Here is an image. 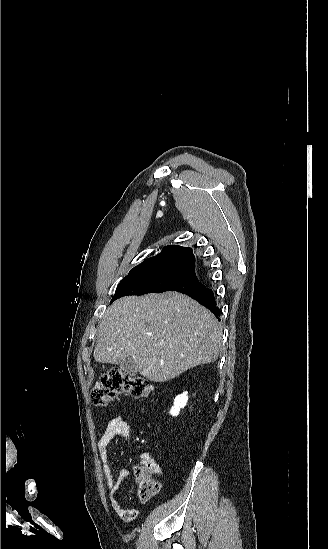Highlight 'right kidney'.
Instances as JSON below:
<instances>
[{"label":"right kidney","instance_id":"1","mask_svg":"<svg viewBox=\"0 0 328 549\" xmlns=\"http://www.w3.org/2000/svg\"><path fill=\"white\" fill-rule=\"evenodd\" d=\"M187 395L188 393L187 391H185V393H182V395H177V397H175L174 405L172 409H170V415H172V417H177V415H179L180 413V409H183V407H185L188 401Z\"/></svg>","mask_w":328,"mask_h":549}]
</instances>
